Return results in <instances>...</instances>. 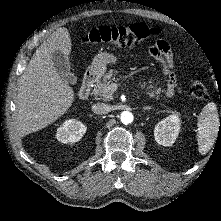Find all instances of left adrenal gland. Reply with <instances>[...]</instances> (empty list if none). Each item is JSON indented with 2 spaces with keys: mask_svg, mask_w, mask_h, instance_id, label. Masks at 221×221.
Masks as SVG:
<instances>
[{
  "mask_svg": "<svg viewBox=\"0 0 221 221\" xmlns=\"http://www.w3.org/2000/svg\"><path fill=\"white\" fill-rule=\"evenodd\" d=\"M150 109H152V107H149V106L143 107V112H145L146 110H150Z\"/></svg>",
  "mask_w": 221,
  "mask_h": 221,
  "instance_id": "a2214340",
  "label": "left adrenal gland"
}]
</instances>
